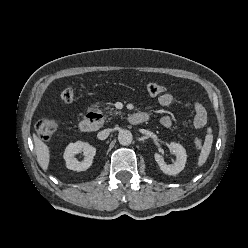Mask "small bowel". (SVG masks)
<instances>
[{"instance_id":"c3829d8e","label":"small bowel","mask_w":248,"mask_h":248,"mask_svg":"<svg viewBox=\"0 0 248 248\" xmlns=\"http://www.w3.org/2000/svg\"><path fill=\"white\" fill-rule=\"evenodd\" d=\"M174 97L170 93H164L158 97V102L161 106H169L173 102ZM194 117H193V126L195 128H203L207 124L208 114L205 106L201 102H194ZM173 121L172 118L168 115H165L161 118V124L169 128L171 127Z\"/></svg>"}]
</instances>
